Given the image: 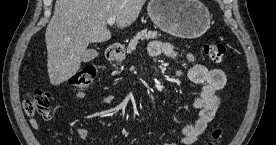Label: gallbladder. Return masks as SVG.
<instances>
[{"label": "gallbladder", "mask_w": 276, "mask_h": 145, "mask_svg": "<svg viewBox=\"0 0 276 145\" xmlns=\"http://www.w3.org/2000/svg\"><path fill=\"white\" fill-rule=\"evenodd\" d=\"M97 55H98V52L95 49H88L82 55V61L85 63L89 62V61L93 60L94 58H96Z\"/></svg>", "instance_id": "gallbladder-1"}]
</instances>
